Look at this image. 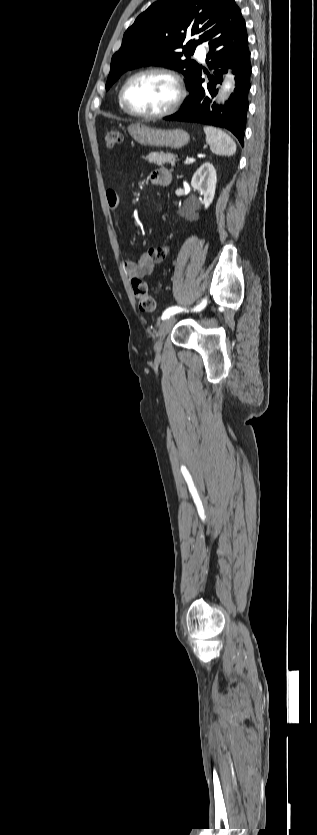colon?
I'll return each instance as SVG.
<instances>
[{
	"label": "colon",
	"instance_id": "obj_1",
	"mask_svg": "<svg viewBox=\"0 0 317 835\" xmlns=\"http://www.w3.org/2000/svg\"><path fill=\"white\" fill-rule=\"evenodd\" d=\"M103 138L105 146L109 149L115 147L121 141L120 134L113 129L105 130ZM147 252L156 261H163L171 255L172 249L170 246L151 247ZM131 285L140 310L144 312H152L155 309V300L148 293L147 283L142 279L133 278L131 280Z\"/></svg>",
	"mask_w": 317,
	"mask_h": 835
}]
</instances>
